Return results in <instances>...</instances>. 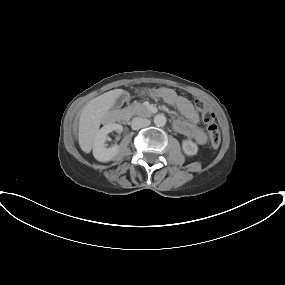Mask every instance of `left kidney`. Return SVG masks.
I'll return each instance as SVG.
<instances>
[{"label": "left kidney", "mask_w": 285, "mask_h": 285, "mask_svg": "<svg viewBox=\"0 0 285 285\" xmlns=\"http://www.w3.org/2000/svg\"><path fill=\"white\" fill-rule=\"evenodd\" d=\"M182 149L187 156H193L197 154L198 146L192 140H183Z\"/></svg>", "instance_id": "left-kidney-1"}]
</instances>
